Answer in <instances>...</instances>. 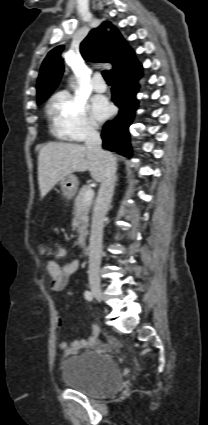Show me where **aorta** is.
Here are the masks:
<instances>
[{"mask_svg": "<svg viewBox=\"0 0 208 425\" xmlns=\"http://www.w3.org/2000/svg\"><path fill=\"white\" fill-rule=\"evenodd\" d=\"M69 86L72 88V89H75V83H74V81L72 80L70 83H69Z\"/></svg>", "mask_w": 208, "mask_h": 425, "instance_id": "aorta-1", "label": "aorta"}]
</instances>
